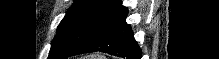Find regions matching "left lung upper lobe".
Instances as JSON below:
<instances>
[{"mask_svg": "<svg viewBox=\"0 0 219 59\" xmlns=\"http://www.w3.org/2000/svg\"><path fill=\"white\" fill-rule=\"evenodd\" d=\"M111 0H75L57 28L48 59H66L94 30Z\"/></svg>", "mask_w": 219, "mask_h": 59, "instance_id": "5c2ea615", "label": "left lung upper lobe"}]
</instances>
